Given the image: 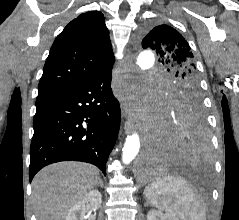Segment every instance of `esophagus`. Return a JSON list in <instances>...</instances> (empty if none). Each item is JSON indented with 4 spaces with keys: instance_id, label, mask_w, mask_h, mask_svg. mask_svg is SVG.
Wrapping results in <instances>:
<instances>
[{
    "instance_id": "1",
    "label": "esophagus",
    "mask_w": 239,
    "mask_h": 220,
    "mask_svg": "<svg viewBox=\"0 0 239 220\" xmlns=\"http://www.w3.org/2000/svg\"><path fill=\"white\" fill-rule=\"evenodd\" d=\"M131 127H132V123H131V121L128 119V120L126 121V123H125V129H126V131L128 132V131L131 129Z\"/></svg>"
}]
</instances>
